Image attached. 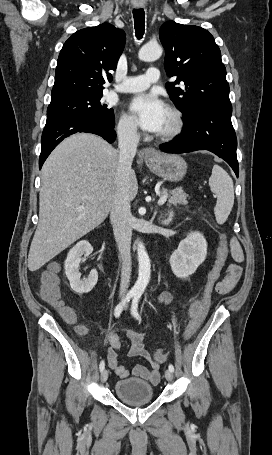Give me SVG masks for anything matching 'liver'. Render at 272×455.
Here are the masks:
<instances>
[{
	"label": "liver",
	"mask_w": 272,
	"mask_h": 455,
	"mask_svg": "<svg viewBox=\"0 0 272 455\" xmlns=\"http://www.w3.org/2000/svg\"><path fill=\"white\" fill-rule=\"evenodd\" d=\"M118 164L117 151L89 133L72 135L53 150L41 172L39 223L28 255L31 272L106 219L116 192ZM137 192V178L131 169L129 200Z\"/></svg>",
	"instance_id": "liver-1"
}]
</instances>
